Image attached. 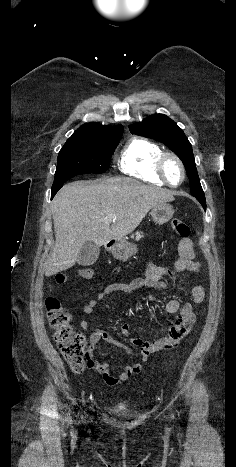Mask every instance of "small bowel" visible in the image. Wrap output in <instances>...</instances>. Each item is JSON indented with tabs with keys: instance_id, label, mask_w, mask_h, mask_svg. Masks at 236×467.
<instances>
[{
	"instance_id": "obj_1",
	"label": "small bowel",
	"mask_w": 236,
	"mask_h": 467,
	"mask_svg": "<svg viewBox=\"0 0 236 467\" xmlns=\"http://www.w3.org/2000/svg\"><path fill=\"white\" fill-rule=\"evenodd\" d=\"M178 251L179 258L176 260L173 267L157 265L150 261L146 265L145 278L135 279L129 284L113 283L107 285L93 299L87 301L83 305V311L86 314L92 313L102 299L115 292L131 294L140 288H151L159 293H163L166 282L175 281L179 275H183L186 272H198L199 264L194 260L195 253L192 241L182 240L179 244ZM191 297L195 304L202 303L205 299V290L203 286L198 283L192 284ZM105 307L109 310L111 304L107 302ZM165 310L171 314L177 313L178 316L173 325L169 328L167 334L152 342L145 341L138 337H130V325L128 323L120 325V332L128 337L133 345L140 348V361L127 366L117 376L112 374L107 363L99 362L93 354L95 352H100L99 343L101 341L108 342L124 350L126 353H130V350L106 330H89L88 321L82 319L80 321V327L82 330L89 333V350L91 354L89 368L98 373L107 385H116L120 381H126L140 373L143 363L148 360L152 353L175 348L181 339L188 334L195 321L193 306L191 303L181 304L178 300L172 299L166 303Z\"/></svg>"
}]
</instances>
